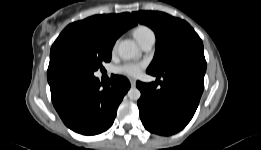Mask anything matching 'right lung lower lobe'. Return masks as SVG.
<instances>
[{
  "label": "right lung lower lobe",
  "mask_w": 261,
  "mask_h": 150,
  "mask_svg": "<svg viewBox=\"0 0 261 150\" xmlns=\"http://www.w3.org/2000/svg\"><path fill=\"white\" fill-rule=\"evenodd\" d=\"M49 85L53 105L64 124L83 135L106 131L130 88L127 78L115 75L106 83L92 75L57 79Z\"/></svg>",
  "instance_id": "98d812e1"
}]
</instances>
